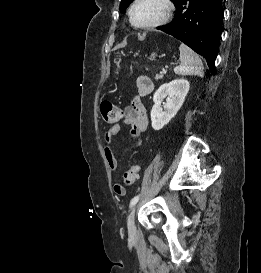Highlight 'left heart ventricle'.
<instances>
[{"mask_svg": "<svg viewBox=\"0 0 261 273\" xmlns=\"http://www.w3.org/2000/svg\"><path fill=\"white\" fill-rule=\"evenodd\" d=\"M163 12V6L158 0H143L133 12L137 24H146L157 19Z\"/></svg>", "mask_w": 261, "mask_h": 273, "instance_id": "obj_1", "label": "left heart ventricle"}]
</instances>
